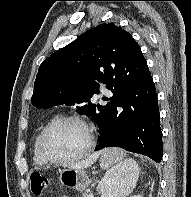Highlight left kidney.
<instances>
[{
  "label": "left kidney",
  "instance_id": "left-kidney-1",
  "mask_svg": "<svg viewBox=\"0 0 191 197\" xmlns=\"http://www.w3.org/2000/svg\"><path fill=\"white\" fill-rule=\"evenodd\" d=\"M130 197H143V196H141V195H132V196H130Z\"/></svg>",
  "mask_w": 191,
  "mask_h": 197
}]
</instances>
